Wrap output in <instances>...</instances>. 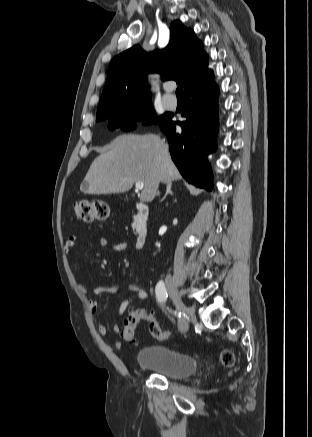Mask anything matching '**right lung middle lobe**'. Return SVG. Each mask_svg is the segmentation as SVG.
<instances>
[{"instance_id": "dd1d6c3e", "label": "right lung middle lobe", "mask_w": 312, "mask_h": 437, "mask_svg": "<svg viewBox=\"0 0 312 437\" xmlns=\"http://www.w3.org/2000/svg\"><path fill=\"white\" fill-rule=\"evenodd\" d=\"M155 115L151 102H146L123 106L107 116L96 118V121L108 119L109 129L113 130L114 128L120 127L124 131H129L135 127L133 123L137 120L154 118L153 122L161 126L171 117L167 113L159 118H156Z\"/></svg>"}]
</instances>
